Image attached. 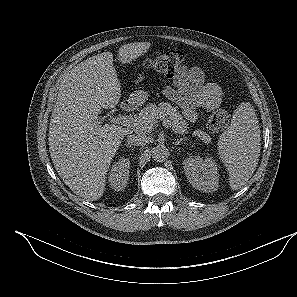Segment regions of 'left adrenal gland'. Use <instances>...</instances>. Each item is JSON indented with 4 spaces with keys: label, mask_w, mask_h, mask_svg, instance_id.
Here are the masks:
<instances>
[{
    "label": "left adrenal gland",
    "mask_w": 297,
    "mask_h": 297,
    "mask_svg": "<svg viewBox=\"0 0 297 297\" xmlns=\"http://www.w3.org/2000/svg\"><path fill=\"white\" fill-rule=\"evenodd\" d=\"M182 141H185V138L177 139L176 142H175L174 144H175V145H179Z\"/></svg>",
    "instance_id": "1"
}]
</instances>
